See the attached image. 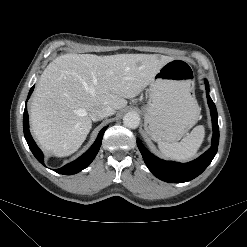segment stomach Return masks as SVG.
<instances>
[{"label":"stomach","instance_id":"0dacf381","mask_svg":"<svg viewBox=\"0 0 247 247\" xmlns=\"http://www.w3.org/2000/svg\"><path fill=\"white\" fill-rule=\"evenodd\" d=\"M192 76L186 61L173 59L150 82L149 101L144 107L145 130L154 141L177 142L197 122L200 110L191 102Z\"/></svg>","mask_w":247,"mask_h":247}]
</instances>
